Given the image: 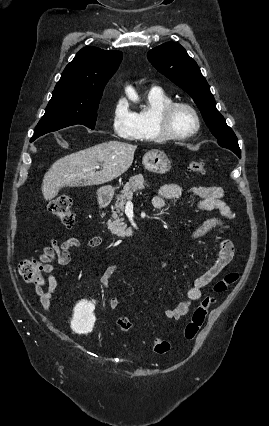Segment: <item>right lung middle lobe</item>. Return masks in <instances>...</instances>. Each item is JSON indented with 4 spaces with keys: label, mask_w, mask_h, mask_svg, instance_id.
I'll list each match as a JSON object with an SVG mask.
<instances>
[{
    "label": "right lung middle lobe",
    "mask_w": 269,
    "mask_h": 426,
    "mask_svg": "<svg viewBox=\"0 0 269 426\" xmlns=\"http://www.w3.org/2000/svg\"><path fill=\"white\" fill-rule=\"evenodd\" d=\"M101 97L100 95L90 98H70L60 93L52 94L45 114L37 124L30 141L46 133L76 124L94 129Z\"/></svg>",
    "instance_id": "right-lung-middle-lobe-1"
}]
</instances>
